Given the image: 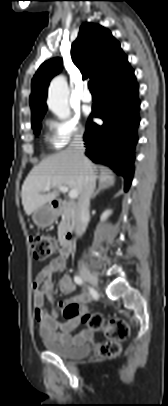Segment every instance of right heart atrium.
Returning a JSON list of instances; mask_svg holds the SVG:
<instances>
[{
	"label": "right heart atrium",
	"mask_w": 168,
	"mask_h": 406,
	"mask_svg": "<svg viewBox=\"0 0 168 406\" xmlns=\"http://www.w3.org/2000/svg\"><path fill=\"white\" fill-rule=\"evenodd\" d=\"M47 124L52 132L51 143L58 148L81 139L85 133L78 115H70L63 119H50Z\"/></svg>",
	"instance_id": "right-heart-atrium-1"
}]
</instances>
